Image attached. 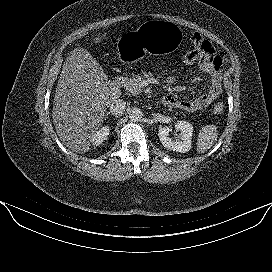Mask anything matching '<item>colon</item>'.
I'll return each mask as SVG.
<instances>
[{
    "label": "colon",
    "mask_w": 272,
    "mask_h": 272,
    "mask_svg": "<svg viewBox=\"0 0 272 272\" xmlns=\"http://www.w3.org/2000/svg\"><path fill=\"white\" fill-rule=\"evenodd\" d=\"M200 57V52L197 49L187 50L182 53L181 61L185 64L194 63ZM214 113L215 114H222L224 112V105L223 103L219 102L214 106Z\"/></svg>",
    "instance_id": "1"
}]
</instances>
